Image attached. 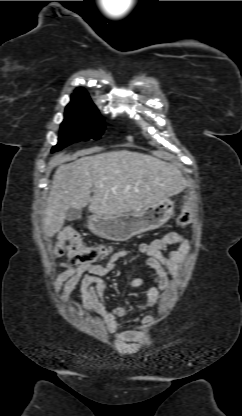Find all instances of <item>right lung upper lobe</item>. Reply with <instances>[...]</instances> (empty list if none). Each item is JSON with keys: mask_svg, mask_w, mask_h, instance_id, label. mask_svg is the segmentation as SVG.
<instances>
[{"mask_svg": "<svg viewBox=\"0 0 242 416\" xmlns=\"http://www.w3.org/2000/svg\"><path fill=\"white\" fill-rule=\"evenodd\" d=\"M92 104L87 92L82 88H77L76 92L71 97L69 105H84Z\"/></svg>", "mask_w": 242, "mask_h": 416, "instance_id": "cb5924a9", "label": "right lung upper lobe"}]
</instances>
